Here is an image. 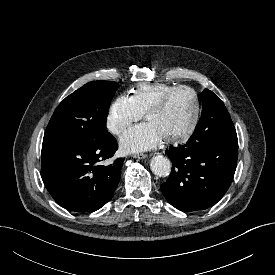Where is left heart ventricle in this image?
<instances>
[{"label": "left heart ventricle", "mask_w": 275, "mask_h": 275, "mask_svg": "<svg viewBox=\"0 0 275 275\" xmlns=\"http://www.w3.org/2000/svg\"><path fill=\"white\" fill-rule=\"evenodd\" d=\"M194 114V99L187 90L175 92L165 106L151 113L147 121L152 123L163 139L177 136L189 127Z\"/></svg>", "instance_id": "1"}]
</instances>
